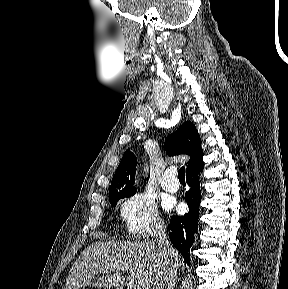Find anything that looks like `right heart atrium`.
<instances>
[{"instance_id": "obj_1", "label": "right heart atrium", "mask_w": 288, "mask_h": 289, "mask_svg": "<svg viewBox=\"0 0 288 289\" xmlns=\"http://www.w3.org/2000/svg\"><path fill=\"white\" fill-rule=\"evenodd\" d=\"M121 215L127 231L137 237L153 236L162 227L154 201L141 192L134 193L123 202Z\"/></svg>"}]
</instances>
